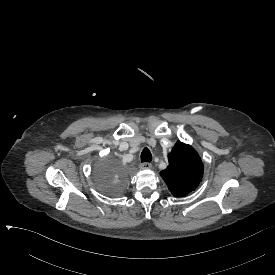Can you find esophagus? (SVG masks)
Instances as JSON below:
<instances>
[{
    "instance_id": "34e87169",
    "label": "esophagus",
    "mask_w": 275,
    "mask_h": 275,
    "mask_svg": "<svg viewBox=\"0 0 275 275\" xmlns=\"http://www.w3.org/2000/svg\"><path fill=\"white\" fill-rule=\"evenodd\" d=\"M151 167H152V165H151L150 162H142L139 165V168L142 169V170L151 169Z\"/></svg>"
}]
</instances>
